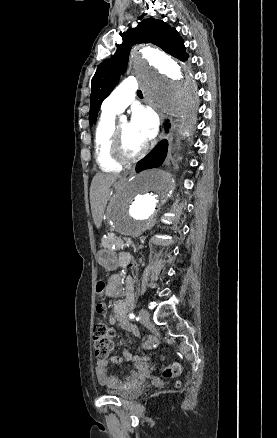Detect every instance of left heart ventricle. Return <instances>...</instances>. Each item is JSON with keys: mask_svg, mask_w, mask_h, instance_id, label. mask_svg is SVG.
<instances>
[{"mask_svg": "<svg viewBox=\"0 0 277 438\" xmlns=\"http://www.w3.org/2000/svg\"><path fill=\"white\" fill-rule=\"evenodd\" d=\"M120 131L123 138L125 152L129 156H135L139 154L143 150V148L139 140L135 136L131 124L127 122H122L120 124Z\"/></svg>", "mask_w": 277, "mask_h": 438, "instance_id": "left-heart-ventricle-1", "label": "left heart ventricle"}]
</instances>
